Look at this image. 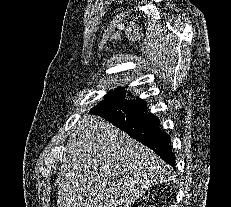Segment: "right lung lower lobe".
Here are the masks:
<instances>
[{
    "instance_id": "obj_1",
    "label": "right lung lower lobe",
    "mask_w": 231,
    "mask_h": 207,
    "mask_svg": "<svg viewBox=\"0 0 231 207\" xmlns=\"http://www.w3.org/2000/svg\"><path fill=\"white\" fill-rule=\"evenodd\" d=\"M146 109L147 102L142 99L124 101L123 98L113 103L102 101L91 112L122 129L175 168V155L169 146L170 136L159 129V119L146 113Z\"/></svg>"
}]
</instances>
